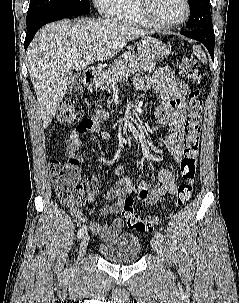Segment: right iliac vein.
Returning <instances> with one entry per match:
<instances>
[{
	"mask_svg": "<svg viewBox=\"0 0 239 303\" xmlns=\"http://www.w3.org/2000/svg\"><path fill=\"white\" fill-rule=\"evenodd\" d=\"M89 239H90V237L87 233L84 234V236H82V239H81V242L79 245V250H78V259H80L86 252V249H87V246L89 243Z\"/></svg>",
	"mask_w": 239,
	"mask_h": 303,
	"instance_id": "63e3f726",
	"label": "right iliac vein"
}]
</instances>
